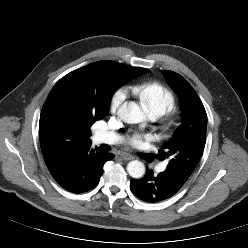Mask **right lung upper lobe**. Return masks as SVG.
I'll use <instances>...</instances> for the list:
<instances>
[{
	"mask_svg": "<svg viewBox=\"0 0 248 248\" xmlns=\"http://www.w3.org/2000/svg\"><path fill=\"white\" fill-rule=\"evenodd\" d=\"M116 64L117 62L104 60L74 70L60 79L50 91L40 115L39 138L42 154L51 174L59 171L80 151L91 147L89 123L101 120L111 101L110 95L99 94L100 84L106 81L104 73ZM69 81L76 86L85 81L94 82L95 99L87 105L77 102L78 110L75 112L63 111L58 101L64 94L63 83Z\"/></svg>",
	"mask_w": 248,
	"mask_h": 248,
	"instance_id": "right-lung-upper-lobe-1",
	"label": "right lung upper lobe"
}]
</instances>
